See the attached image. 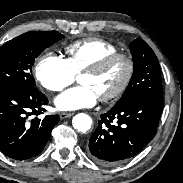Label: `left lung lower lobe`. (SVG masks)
Segmentation results:
<instances>
[{"label": "left lung lower lobe", "mask_w": 183, "mask_h": 183, "mask_svg": "<svg viewBox=\"0 0 183 183\" xmlns=\"http://www.w3.org/2000/svg\"><path fill=\"white\" fill-rule=\"evenodd\" d=\"M162 108V98L141 97L102 114L89 140L92 159L114 166L136 156L156 135Z\"/></svg>", "instance_id": "obj_1"}]
</instances>
